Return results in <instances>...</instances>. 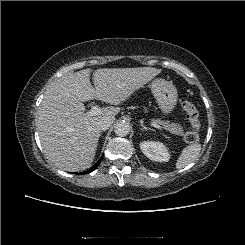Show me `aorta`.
I'll return each mask as SVG.
<instances>
[{
  "mask_svg": "<svg viewBox=\"0 0 245 245\" xmlns=\"http://www.w3.org/2000/svg\"><path fill=\"white\" fill-rule=\"evenodd\" d=\"M114 132L117 136L125 137L130 132V124L126 121H120L115 125Z\"/></svg>",
  "mask_w": 245,
  "mask_h": 245,
  "instance_id": "aorta-1",
  "label": "aorta"
}]
</instances>
